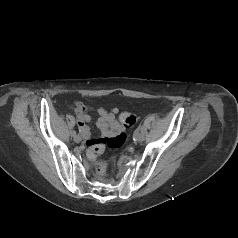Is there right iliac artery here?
I'll return each mask as SVG.
<instances>
[{"instance_id":"82829eb1","label":"right iliac artery","mask_w":238,"mask_h":238,"mask_svg":"<svg viewBox=\"0 0 238 238\" xmlns=\"http://www.w3.org/2000/svg\"><path fill=\"white\" fill-rule=\"evenodd\" d=\"M71 135H72V136H75V135H76V131L73 130V131L71 132Z\"/></svg>"}]
</instances>
